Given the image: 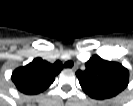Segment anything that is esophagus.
I'll return each instance as SVG.
<instances>
[{"label": "esophagus", "mask_w": 133, "mask_h": 106, "mask_svg": "<svg viewBox=\"0 0 133 106\" xmlns=\"http://www.w3.org/2000/svg\"><path fill=\"white\" fill-rule=\"evenodd\" d=\"M77 69H78V65L75 64V65L72 67V70H73V71H76Z\"/></svg>", "instance_id": "34e87169"}]
</instances>
